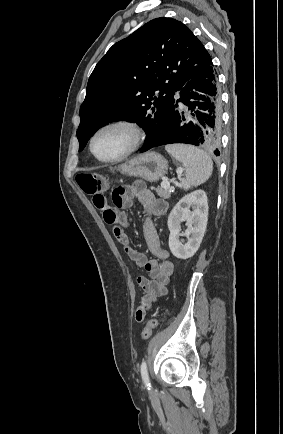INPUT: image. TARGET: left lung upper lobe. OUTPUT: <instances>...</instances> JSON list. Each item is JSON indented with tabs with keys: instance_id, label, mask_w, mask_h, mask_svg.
<instances>
[{
	"instance_id": "left-lung-upper-lobe-1",
	"label": "left lung upper lobe",
	"mask_w": 283,
	"mask_h": 434,
	"mask_svg": "<svg viewBox=\"0 0 283 434\" xmlns=\"http://www.w3.org/2000/svg\"><path fill=\"white\" fill-rule=\"evenodd\" d=\"M211 64L201 41L172 18L151 20L115 43L88 80L79 151L100 127L125 119L145 130V146L152 144L173 113L175 92Z\"/></svg>"
}]
</instances>
